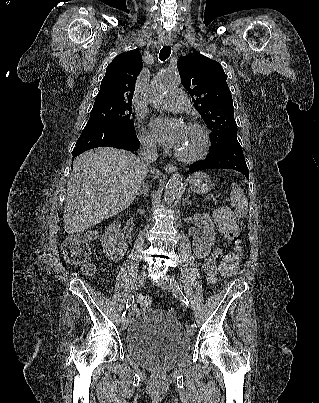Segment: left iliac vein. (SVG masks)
I'll list each match as a JSON object with an SVG mask.
<instances>
[{
    "mask_svg": "<svg viewBox=\"0 0 319 403\" xmlns=\"http://www.w3.org/2000/svg\"><path fill=\"white\" fill-rule=\"evenodd\" d=\"M158 286L163 290H169L170 289L169 281H168V279H165V278L158 281ZM194 333H195V328L189 327L188 328V334L190 336H193Z\"/></svg>",
    "mask_w": 319,
    "mask_h": 403,
    "instance_id": "obj_1",
    "label": "left iliac vein"
}]
</instances>
